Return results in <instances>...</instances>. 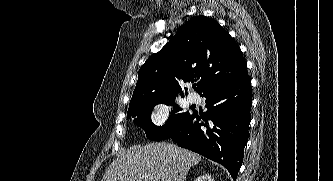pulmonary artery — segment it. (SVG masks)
I'll return each mask as SVG.
<instances>
[{
	"label": "pulmonary artery",
	"instance_id": "1",
	"mask_svg": "<svg viewBox=\"0 0 333 181\" xmlns=\"http://www.w3.org/2000/svg\"><path fill=\"white\" fill-rule=\"evenodd\" d=\"M188 100H189L190 103H195V102L198 101V97H197L196 94L191 93V94L188 95Z\"/></svg>",
	"mask_w": 333,
	"mask_h": 181
}]
</instances>
